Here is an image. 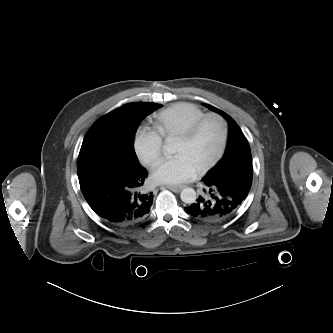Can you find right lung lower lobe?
<instances>
[{"instance_id":"98d812e1","label":"right lung lower lobe","mask_w":333,"mask_h":333,"mask_svg":"<svg viewBox=\"0 0 333 333\" xmlns=\"http://www.w3.org/2000/svg\"><path fill=\"white\" fill-rule=\"evenodd\" d=\"M84 198L99 216L111 224L128 226L143 220L153 203L152 193L141 186L147 170L82 161L77 165Z\"/></svg>"}]
</instances>
